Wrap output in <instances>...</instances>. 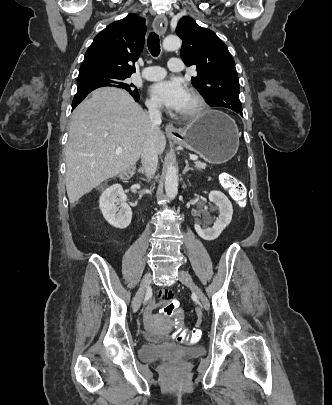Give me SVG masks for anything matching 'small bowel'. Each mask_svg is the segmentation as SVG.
<instances>
[{"instance_id": "1", "label": "small bowel", "mask_w": 332, "mask_h": 405, "mask_svg": "<svg viewBox=\"0 0 332 405\" xmlns=\"http://www.w3.org/2000/svg\"><path fill=\"white\" fill-rule=\"evenodd\" d=\"M158 295H159V297H172L173 290H172V288H159ZM156 305L157 304L154 301H152V302H150V304L147 307L146 320L148 322H150L152 319L151 313L156 308ZM153 342L155 344H165L167 342V337L165 335H155L153 337Z\"/></svg>"}]
</instances>
